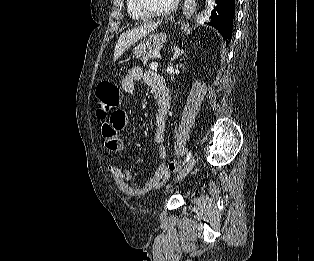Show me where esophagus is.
<instances>
[{
    "instance_id": "obj_1",
    "label": "esophagus",
    "mask_w": 314,
    "mask_h": 261,
    "mask_svg": "<svg viewBox=\"0 0 314 261\" xmlns=\"http://www.w3.org/2000/svg\"><path fill=\"white\" fill-rule=\"evenodd\" d=\"M189 3L185 4L187 10H185L186 14L190 15L195 11L196 3H191V0H188Z\"/></svg>"
}]
</instances>
